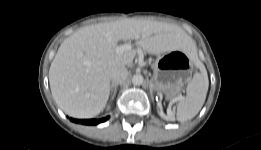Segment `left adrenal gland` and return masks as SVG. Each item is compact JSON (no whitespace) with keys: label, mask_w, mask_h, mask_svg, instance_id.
<instances>
[{"label":"left adrenal gland","mask_w":261,"mask_h":150,"mask_svg":"<svg viewBox=\"0 0 261 150\" xmlns=\"http://www.w3.org/2000/svg\"><path fill=\"white\" fill-rule=\"evenodd\" d=\"M149 88H150V93H151V95H152V88H153V85H152V82H151V81H149Z\"/></svg>","instance_id":"a2214340"}]
</instances>
